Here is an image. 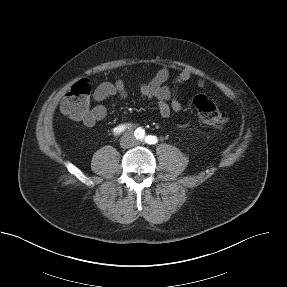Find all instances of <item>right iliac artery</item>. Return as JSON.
I'll return each mask as SVG.
<instances>
[{"label": "right iliac artery", "instance_id": "1", "mask_svg": "<svg viewBox=\"0 0 287 287\" xmlns=\"http://www.w3.org/2000/svg\"><path fill=\"white\" fill-rule=\"evenodd\" d=\"M126 128H127V125H119L118 127H116L114 129V134L118 135V134L124 132ZM128 129H129V127H128ZM134 135L137 139H143L145 136V131L141 128H137L134 132Z\"/></svg>", "mask_w": 287, "mask_h": 287}]
</instances>
